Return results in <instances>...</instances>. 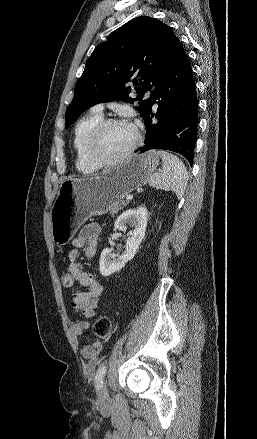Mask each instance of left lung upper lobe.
I'll return each mask as SVG.
<instances>
[{"mask_svg": "<svg viewBox=\"0 0 257 439\" xmlns=\"http://www.w3.org/2000/svg\"><path fill=\"white\" fill-rule=\"evenodd\" d=\"M178 41L170 27L148 16L134 18L113 31L86 61L66 113V128L90 105L112 100H138L137 110L144 119L152 99L143 100L142 96L156 86ZM130 80L138 86L135 99L128 97L131 88L124 86Z\"/></svg>", "mask_w": 257, "mask_h": 439, "instance_id": "left-lung-upper-lobe-1", "label": "left lung upper lobe"}]
</instances>
